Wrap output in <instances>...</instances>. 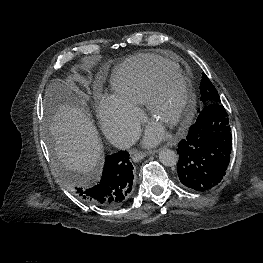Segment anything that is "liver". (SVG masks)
<instances>
[{"instance_id":"6515ba94","label":"liver","mask_w":263,"mask_h":263,"mask_svg":"<svg viewBox=\"0 0 263 263\" xmlns=\"http://www.w3.org/2000/svg\"><path fill=\"white\" fill-rule=\"evenodd\" d=\"M74 92L77 90L71 83L60 80L47 88V105L52 114L50 133L62 164L88 175L99 166L103 146L96 127Z\"/></svg>"}]
</instances>
